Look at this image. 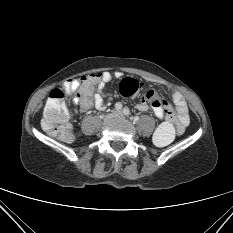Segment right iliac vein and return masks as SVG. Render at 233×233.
Returning a JSON list of instances; mask_svg holds the SVG:
<instances>
[{
    "label": "right iliac vein",
    "mask_w": 233,
    "mask_h": 233,
    "mask_svg": "<svg viewBox=\"0 0 233 233\" xmlns=\"http://www.w3.org/2000/svg\"><path fill=\"white\" fill-rule=\"evenodd\" d=\"M115 117V114H110L108 116L105 117V121H110Z\"/></svg>",
    "instance_id": "obj_1"
}]
</instances>
